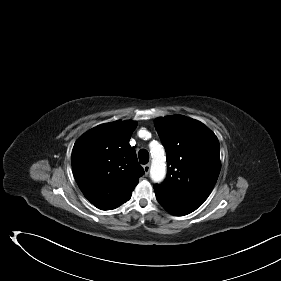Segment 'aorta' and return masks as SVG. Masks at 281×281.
Here are the masks:
<instances>
[{
  "mask_svg": "<svg viewBox=\"0 0 281 281\" xmlns=\"http://www.w3.org/2000/svg\"><path fill=\"white\" fill-rule=\"evenodd\" d=\"M150 152L152 155L150 177L154 182L159 183L166 175L165 151L159 143H153L150 145Z\"/></svg>",
  "mask_w": 281,
  "mask_h": 281,
  "instance_id": "aorta-1",
  "label": "aorta"
}]
</instances>
